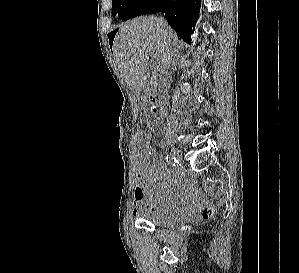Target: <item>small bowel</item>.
I'll list each match as a JSON object with an SVG mask.
<instances>
[{
  "label": "small bowel",
  "instance_id": "obj_1",
  "mask_svg": "<svg viewBox=\"0 0 299 273\" xmlns=\"http://www.w3.org/2000/svg\"><path fill=\"white\" fill-rule=\"evenodd\" d=\"M147 133L137 137V146L140 154L148 158L156 159L157 153L150 146L144 144V140H152V132L155 123L151 120L146 122ZM135 190L133 195V214L141 210H151L159 213L177 212L187 217H192L199 210L198 200L188 192L182 180L170 172L162 163L137 165L135 177ZM153 188L149 189L150 187ZM182 203V208H176Z\"/></svg>",
  "mask_w": 299,
  "mask_h": 273
}]
</instances>
